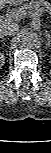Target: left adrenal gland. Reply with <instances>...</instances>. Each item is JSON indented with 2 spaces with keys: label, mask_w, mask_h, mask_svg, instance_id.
Masks as SVG:
<instances>
[{
  "label": "left adrenal gland",
  "mask_w": 51,
  "mask_h": 153,
  "mask_svg": "<svg viewBox=\"0 0 51 153\" xmlns=\"http://www.w3.org/2000/svg\"><path fill=\"white\" fill-rule=\"evenodd\" d=\"M46 37H47V40L50 42V34L46 33ZM47 45L49 46L50 43H47Z\"/></svg>",
  "instance_id": "left-adrenal-gland-1"
}]
</instances>
